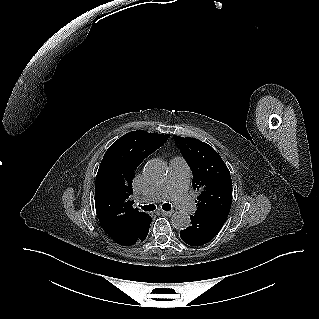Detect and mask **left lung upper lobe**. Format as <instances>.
I'll return each instance as SVG.
<instances>
[{
	"mask_svg": "<svg viewBox=\"0 0 319 319\" xmlns=\"http://www.w3.org/2000/svg\"><path fill=\"white\" fill-rule=\"evenodd\" d=\"M177 147L192 170V186L199 191L198 214L229 215L232 180L221 156L207 143L174 135Z\"/></svg>",
	"mask_w": 319,
	"mask_h": 319,
	"instance_id": "left-lung-upper-lobe-1",
	"label": "left lung upper lobe"
}]
</instances>
